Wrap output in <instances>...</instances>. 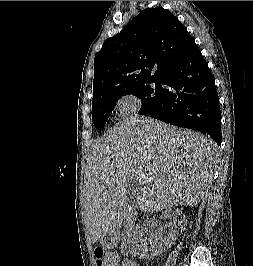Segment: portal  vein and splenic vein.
<instances>
[{"label": "portal vein and splenic vein", "instance_id": "1", "mask_svg": "<svg viewBox=\"0 0 253 266\" xmlns=\"http://www.w3.org/2000/svg\"><path fill=\"white\" fill-rule=\"evenodd\" d=\"M131 182L141 185V180L135 177L130 178Z\"/></svg>", "mask_w": 253, "mask_h": 266}]
</instances>
